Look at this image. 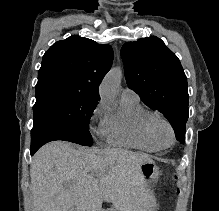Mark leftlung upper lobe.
<instances>
[{
  "label": "left lung upper lobe",
  "instance_id": "5c2ea615",
  "mask_svg": "<svg viewBox=\"0 0 219 211\" xmlns=\"http://www.w3.org/2000/svg\"><path fill=\"white\" fill-rule=\"evenodd\" d=\"M121 56L128 87L168 119L176 139L183 143L189 96L178 57L156 36L125 43Z\"/></svg>",
  "mask_w": 219,
  "mask_h": 211
}]
</instances>
